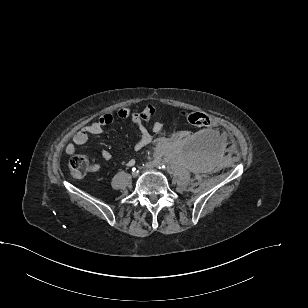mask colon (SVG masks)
Listing matches in <instances>:
<instances>
[{"label": "colon", "mask_w": 308, "mask_h": 308, "mask_svg": "<svg viewBox=\"0 0 308 308\" xmlns=\"http://www.w3.org/2000/svg\"><path fill=\"white\" fill-rule=\"evenodd\" d=\"M187 122L196 128H206L210 125L211 120L208 115L202 112L184 113ZM69 167L72 174L76 177H81L89 169L88 157L84 154H77L70 158Z\"/></svg>", "instance_id": "obj_1"}]
</instances>
